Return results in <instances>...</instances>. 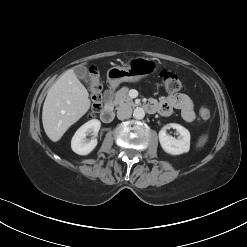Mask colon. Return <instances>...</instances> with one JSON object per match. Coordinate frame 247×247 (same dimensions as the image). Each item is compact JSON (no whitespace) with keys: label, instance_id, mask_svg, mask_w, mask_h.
Segmentation results:
<instances>
[{"label":"colon","instance_id":"1","mask_svg":"<svg viewBox=\"0 0 247 247\" xmlns=\"http://www.w3.org/2000/svg\"><path fill=\"white\" fill-rule=\"evenodd\" d=\"M162 86L169 92H179L184 88V84L179 76L169 70H163L160 74ZM90 94L93 114L97 113L102 106V93L98 80L97 72L92 70L90 73ZM199 115L203 120H208L211 117V110L207 106H202L199 109Z\"/></svg>","mask_w":247,"mask_h":247}]
</instances>
